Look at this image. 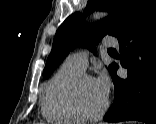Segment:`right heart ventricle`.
Instances as JSON below:
<instances>
[{"mask_svg":"<svg viewBox=\"0 0 156 124\" xmlns=\"http://www.w3.org/2000/svg\"><path fill=\"white\" fill-rule=\"evenodd\" d=\"M81 74L82 72L63 63L47 82L41 112L48 122L74 124L78 121L65 104V94L71 83Z\"/></svg>","mask_w":156,"mask_h":124,"instance_id":"obj_1","label":"right heart ventricle"}]
</instances>
